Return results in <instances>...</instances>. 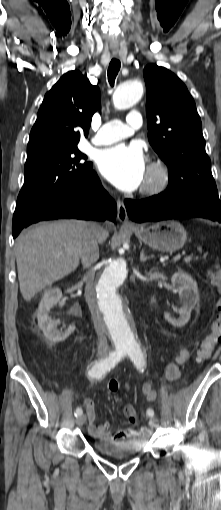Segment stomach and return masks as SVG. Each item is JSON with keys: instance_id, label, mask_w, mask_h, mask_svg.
Here are the masks:
<instances>
[{"instance_id": "stomach-1", "label": "stomach", "mask_w": 221, "mask_h": 510, "mask_svg": "<svg viewBox=\"0 0 221 510\" xmlns=\"http://www.w3.org/2000/svg\"><path fill=\"white\" fill-rule=\"evenodd\" d=\"M132 231L146 245L164 252L181 249L187 240L184 227L171 220L133 227Z\"/></svg>"}]
</instances>
